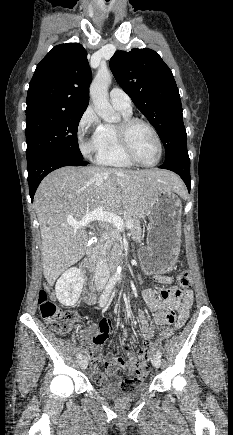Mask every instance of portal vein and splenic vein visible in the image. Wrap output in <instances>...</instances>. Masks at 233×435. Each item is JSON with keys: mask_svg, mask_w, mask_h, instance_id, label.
Returning <instances> with one entry per match:
<instances>
[{"mask_svg": "<svg viewBox=\"0 0 233 435\" xmlns=\"http://www.w3.org/2000/svg\"><path fill=\"white\" fill-rule=\"evenodd\" d=\"M94 220L109 222L120 231L124 230V228L131 229L133 225L132 221L124 222L121 217L117 216L114 213L104 211L102 207L96 208L94 211L90 212L84 218H82V220H80L79 222L69 221L68 223L73 228H83L88 226V224Z\"/></svg>", "mask_w": 233, "mask_h": 435, "instance_id": "obj_1", "label": "portal vein and splenic vein"}]
</instances>
